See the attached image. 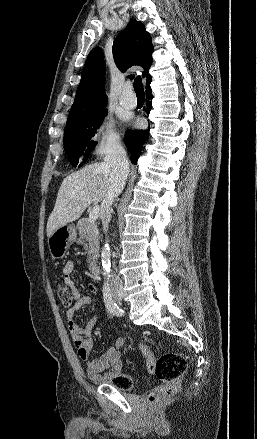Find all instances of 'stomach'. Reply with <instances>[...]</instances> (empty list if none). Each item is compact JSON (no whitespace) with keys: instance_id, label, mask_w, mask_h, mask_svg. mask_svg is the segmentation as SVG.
<instances>
[{"instance_id":"0dacf381","label":"stomach","mask_w":257,"mask_h":439,"mask_svg":"<svg viewBox=\"0 0 257 439\" xmlns=\"http://www.w3.org/2000/svg\"><path fill=\"white\" fill-rule=\"evenodd\" d=\"M77 237L76 227L72 224H65L58 228L48 238V249L53 259L63 258L70 245Z\"/></svg>"}]
</instances>
